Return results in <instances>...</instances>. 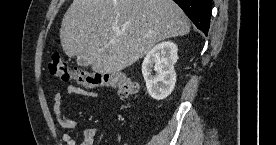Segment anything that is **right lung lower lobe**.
<instances>
[{
	"label": "right lung lower lobe",
	"instance_id": "1",
	"mask_svg": "<svg viewBox=\"0 0 276 145\" xmlns=\"http://www.w3.org/2000/svg\"><path fill=\"white\" fill-rule=\"evenodd\" d=\"M192 20L196 27L208 34L210 26L212 0H173Z\"/></svg>",
	"mask_w": 276,
	"mask_h": 145
}]
</instances>
